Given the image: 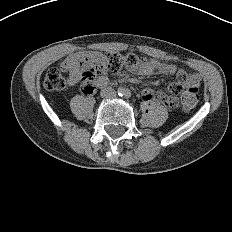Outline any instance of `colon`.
Returning <instances> with one entry per match:
<instances>
[{
    "mask_svg": "<svg viewBox=\"0 0 232 232\" xmlns=\"http://www.w3.org/2000/svg\"><path fill=\"white\" fill-rule=\"evenodd\" d=\"M82 68L81 90L85 94H91L94 90V81L98 75L107 71L117 72L123 67L134 69L147 63L146 58L135 54L121 55L119 53L90 54L77 62ZM62 68L65 70L64 63ZM44 86L47 90H61L66 86V79L58 68H50L44 78ZM198 89L187 85L185 81L176 83L170 90V94L158 93L155 97L158 103L167 107H176L179 103L183 110L194 109L198 100Z\"/></svg>",
    "mask_w": 232,
    "mask_h": 232,
    "instance_id": "5ec220e1",
    "label": "colon"
}]
</instances>
